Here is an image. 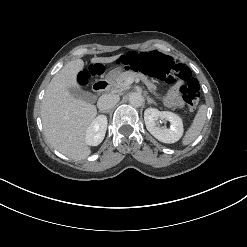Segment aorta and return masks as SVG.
Wrapping results in <instances>:
<instances>
[{"mask_svg": "<svg viewBox=\"0 0 247 247\" xmlns=\"http://www.w3.org/2000/svg\"><path fill=\"white\" fill-rule=\"evenodd\" d=\"M129 103L134 107H140L144 103V97L138 92L131 93L129 96Z\"/></svg>", "mask_w": 247, "mask_h": 247, "instance_id": "1", "label": "aorta"}]
</instances>
